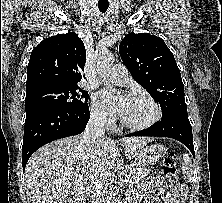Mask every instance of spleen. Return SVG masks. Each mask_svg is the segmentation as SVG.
<instances>
[{
    "instance_id": "1",
    "label": "spleen",
    "mask_w": 222,
    "mask_h": 203,
    "mask_svg": "<svg viewBox=\"0 0 222 203\" xmlns=\"http://www.w3.org/2000/svg\"><path fill=\"white\" fill-rule=\"evenodd\" d=\"M182 173H183V178L185 180L189 182L192 181L194 169H193L192 161L189 155L186 153L183 155Z\"/></svg>"
}]
</instances>
